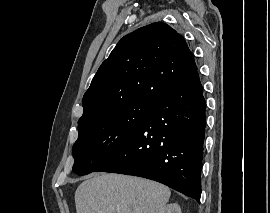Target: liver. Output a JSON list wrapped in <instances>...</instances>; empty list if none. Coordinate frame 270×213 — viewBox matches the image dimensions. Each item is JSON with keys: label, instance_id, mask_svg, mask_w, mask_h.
Instances as JSON below:
<instances>
[{"label": "liver", "instance_id": "1", "mask_svg": "<svg viewBox=\"0 0 270 213\" xmlns=\"http://www.w3.org/2000/svg\"><path fill=\"white\" fill-rule=\"evenodd\" d=\"M166 186L119 174H94L75 192L77 213H158L169 201Z\"/></svg>", "mask_w": 270, "mask_h": 213}]
</instances>
